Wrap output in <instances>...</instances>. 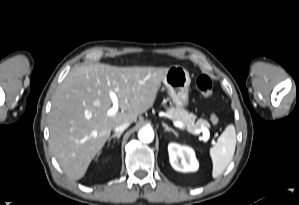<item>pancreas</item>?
I'll use <instances>...</instances> for the list:
<instances>
[{
	"label": "pancreas",
	"mask_w": 299,
	"mask_h": 205,
	"mask_svg": "<svg viewBox=\"0 0 299 205\" xmlns=\"http://www.w3.org/2000/svg\"><path fill=\"white\" fill-rule=\"evenodd\" d=\"M167 113L176 121H179L184 124L190 133H194L197 130L207 129L210 127V124L207 120L202 118L196 120V116L188 113L185 109L182 108H169ZM203 132V131H202ZM204 134V133H203ZM205 136V135H204ZM205 139V137H203Z\"/></svg>",
	"instance_id": "obj_1"
}]
</instances>
